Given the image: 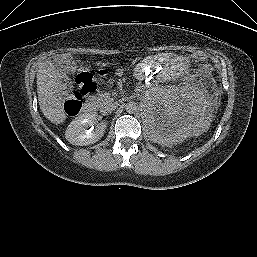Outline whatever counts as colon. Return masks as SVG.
<instances>
[{"mask_svg": "<svg viewBox=\"0 0 257 257\" xmlns=\"http://www.w3.org/2000/svg\"><path fill=\"white\" fill-rule=\"evenodd\" d=\"M193 59L197 62H205L207 56L204 53H194ZM101 75H104L101 73ZM97 77H95L88 69H82L75 79V87L68 88L63 96V106L65 111L70 115L79 112L82 101L96 90Z\"/></svg>", "mask_w": 257, "mask_h": 257, "instance_id": "obj_1", "label": "colon"}]
</instances>
